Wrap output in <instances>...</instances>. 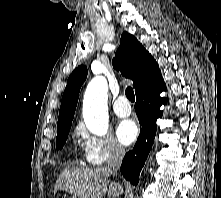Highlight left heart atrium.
Instances as JSON below:
<instances>
[{"label":"left heart atrium","mask_w":221,"mask_h":198,"mask_svg":"<svg viewBox=\"0 0 221 198\" xmlns=\"http://www.w3.org/2000/svg\"><path fill=\"white\" fill-rule=\"evenodd\" d=\"M116 135L122 144L129 145L136 139L138 127L133 120L121 121L117 126Z\"/></svg>","instance_id":"left-heart-atrium-1"}]
</instances>
